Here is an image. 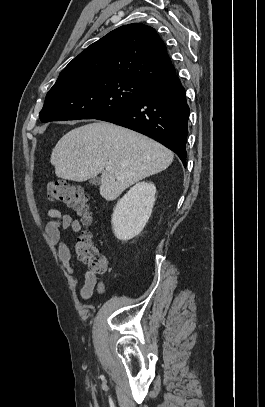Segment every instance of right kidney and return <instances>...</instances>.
<instances>
[{"instance_id": "right-kidney-1", "label": "right kidney", "mask_w": 265, "mask_h": 407, "mask_svg": "<svg viewBox=\"0 0 265 407\" xmlns=\"http://www.w3.org/2000/svg\"><path fill=\"white\" fill-rule=\"evenodd\" d=\"M155 193L153 183L141 182L117 202L112 215V226L118 240H130L143 230L152 213Z\"/></svg>"}]
</instances>
